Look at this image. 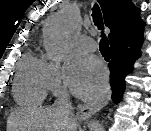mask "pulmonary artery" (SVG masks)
Instances as JSON below:
<instances>
[{
    "mask_svg": "<svg viewBox=\"0 0 151 131\" xmlns=\"http://www.w3.org/2000/svg\"><path fill=\"white\" fill-rule=\"evenodd\" d=\"M84 50L92 51L95 49L94 42L90 38H83L80 43Z\"/></svg>",
    "mask_w": 151,
    "mask_h": 131,
    "instance_id": "obj_1",
    "label": "pulmonary artery"
}]
</instances>
